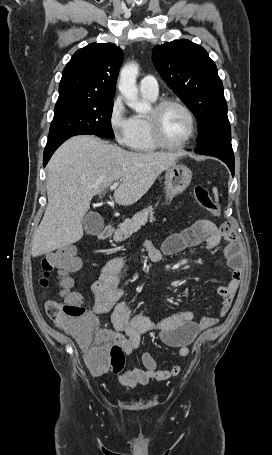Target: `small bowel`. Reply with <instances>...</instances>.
Returning <instances> with one entry per match:
<instances>
[{
  "mask_svg": "<svg viewBox=\"0 0 272 455\" xmlns=\"http://www.w3.org/2000/svg\"><path fill=\"white\" fill-rule=\"evenodd\" d=\"M222 240L227 242L223 255L229 267V281L218 288L222 298L219 316L226 315L231 307L234 295L242 279V266L239 247L232 228L228 224L217 227L213 222L200 219L180 232L169 235L162 243L161 249L155 247L151 241H145L143 248L152 263L161 260L162 255H174L188 248L204 245L206 251L215 249ZM125 265L124 257H115L102 269L99 279L92 285L94 304L89 313L96 319V315L111 313L113 329H102L98 336L110 343L118 344L126 354L140 345L143 334L151 331L159 332L164 344L177 348L181 357L189 354V345L198 334L215 325L217 318L204 317L199 322L194 320V313L184 310L159 320H153L142 314H132L129 304L120 301L124 289L120 286L121 272ZM189 290L184 289L179 297L189 296ZM143 368L121 369L115 372L122 385L135 387L145 385L150 380L164 381L177 376L180 372L178 365L168 369H159L156 361L149 353L142 354Z\"/></svg>",
  "mask_w": 272,
  "mask_h": 455,
  "instance_id": "obj_1",
  "label": "small bowel"
}]
</instances>
